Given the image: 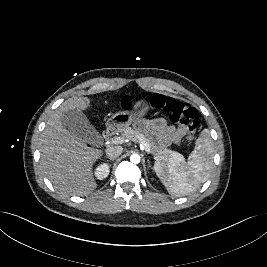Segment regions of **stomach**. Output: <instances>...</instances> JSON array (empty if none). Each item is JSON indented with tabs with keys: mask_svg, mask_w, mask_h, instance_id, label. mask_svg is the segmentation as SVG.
I'll return each mask as SVG.
<instances>
[{
	"mask_svg": "<svg viewBox=\"0 0 267 267\" xmlns=\"http://www.w3.org/2000/svg\"><path fill=\"white\" fill-rule=\"evenodd\" d=\"M149 110L146 102H136L133 110L122 111L113 114L107 121V127L111 130L123 131L131 123L143 117Z\"/></svg>",
	"mask_w": 267,
	"mask_h": 267,
	"instance_id": "1",
	"label": "stomach"
}]
</instances>
